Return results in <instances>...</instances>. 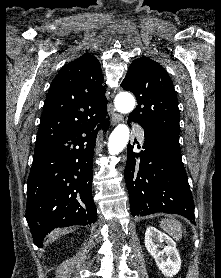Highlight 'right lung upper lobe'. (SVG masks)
Listing matches in <instances>:
<instances>
[{"mask_svg":"<svg viewBox=\"0 0 221 278\" xmlns=\"http://www.w3.org/2000/svg\"><path fill=\"white\" fill-rule=\"evenodd\" d=\"M105 90L100 62L93 55L65 64L48 91L35 149L86 121L104 118Z\"/></svg>","mask_w":221,"mask_h":278,"instance_id":"cb5924a9","label":"right lung upper lobe"}]
</instances>
